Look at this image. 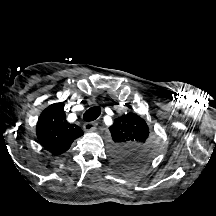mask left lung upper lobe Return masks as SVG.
<instances>
[{
  "instance_id": "5c2ea615",
  "label": "left lung upper lobe",
  "mask_w": 216,
  "mask_h": 216,
  "mask_svg": "<svg viewBox=\"0 0 216 216\" xmlns=\"http://www.w3.org/2000/svg\"><path fill=\"white\" fill-rule=\"evenodd\" d=\"M109 129L114 141L110 157L120 171L134 172L155 157L157 133L136 113L115 118Z\"/></svg>"
}]
</instances>
